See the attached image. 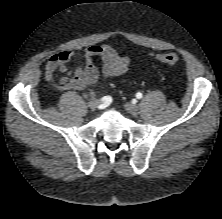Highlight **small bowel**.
<instances>
[{
  "instance_id": "obj_1",
  "label": "small bowel",
  "mask_w": 222,
  "mask_h": 219,
  "mask_svg": "<svg viewBox=\"0 0 222 219\" xmlns=\"http://www.w3.org/2000/svg\"><path fill=\"white\" fill-rule=\"evenodd\" d=\"M95 57H100L103 62L102 79L93 63ZM74 59L84 62V66L76 65L71 70L68 63ZM129 64L128 57L120 56L108 44L94 45L83 50H63L52 54L48 59L45 78L58 91L102 90L108 80L126 73ZM56 72L61 74L58 81H55Z\"/></svg>"
}]
</instances>
